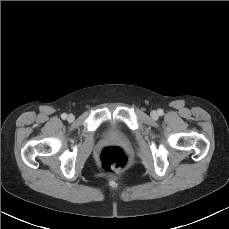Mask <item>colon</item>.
<instances>
[{"mask_svg": "<svg viewBox=\"0 0 229 229\" xmlns=\"http://www.w3.org/2000/svg\"><path fill=\"white\" fill-rule=\"evenodd\" d=\"M98 161L105 173H113L123 169L128 163V158L122 148L106 146L101 150Z\"/></svg>", "mask_w": 229, "mask_h": 229, "instance_id": "5ec220e1", "label": "colon"}]
</instances>
